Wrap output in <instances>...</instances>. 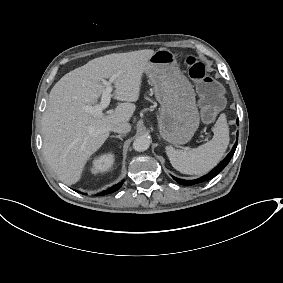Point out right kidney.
Returning <instances> with one entry per match:
<instances>
[{
    "mask_svg": "<svg viewBox=\"0 0 283 283\" xmlns=\"http://www.w3.org/2000/svg\"><path fill=\"white\" fill-rule=\"evenodd\" d=\"M115 161L114 154L106 153L99 157H96L92 162L91 173L98 174L101 172H105L111 168Z\"/></svg>",
    "mask_w": 283,
    "mask_h": 283,
    "instance_id": "right-kidney-1",
    "label": "right kidney"
}]
</instances>
